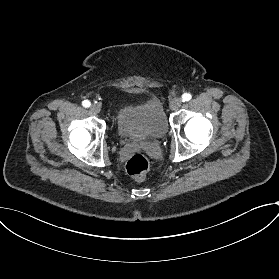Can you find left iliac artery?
<instances>
[{
    "label": "left iliac artery",
    "instance_id": "44dca946",
    "mask_svg": "<svg viewBox=\"0 0 279 279\" xmlns=\"http://www.w3.org/2000/svg\"><path fill=\"white\" fill-rule=\"evenodd\" d=\"M192 98L191 94L190 93H184L182 95V102H185V101H189L190 99Z\"/></svg>",
    "mask_w": 279,
    "mask_h": 279
}]
</instances>
